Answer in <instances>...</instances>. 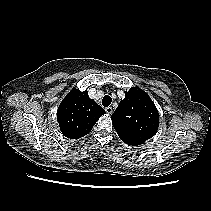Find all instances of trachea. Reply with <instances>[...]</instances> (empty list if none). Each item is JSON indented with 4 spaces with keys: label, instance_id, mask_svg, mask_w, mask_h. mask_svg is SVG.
<instances>
[{
    "label": "trachea",
    "instance_id": "obj_1",
    "mask_svg": "<svg viewBox=\"0 0 211 211\" xmlns=\"http://www.w3.org/2000/svg\"><path fill=\"white\" fill-rule=\"evenodd\" d=\"M112 102V98L109 95H105L102 99V105L108 107Z\"/></svg>",
    "mask_w": 211,
    "mask_h": 211
}]
</instances>
